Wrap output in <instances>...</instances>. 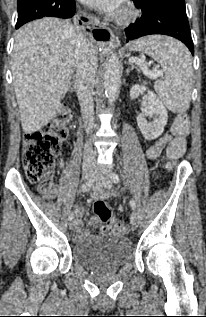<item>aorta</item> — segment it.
<instances>
[{"instance_id":"1","label":"aorta","mask_w":206,"mask_h":317,"mask_svg":"<svg viewBox=\"0 0 206 317\" xmlns=\"http://www.w3.org/2000/svg\"><path fill=\"white\" fill-rule=\"evenodd\" d=\"M121 75V67L116 53L112 54L107 62L104 73V87L108 102L112 104L117 96Z\"/></svg>"}]
</instances>
